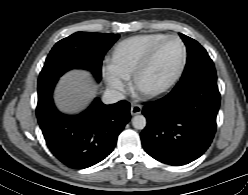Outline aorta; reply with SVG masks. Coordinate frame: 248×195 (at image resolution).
Returning a JSON list of instances; mask_svg holds the SVG:
<instances>
[{"instance_id": "1", "label": "aorta", "mask_w": 248, "mask_h": 195, "mask_svg": "<svg viewBox=\"0 0 248 195\" xmlns=\"http://www.w3.org/2000/svg\"><path fill=\"white\" fill-rule=\"evenodd\" d=\"M147 121L143 115H136L132 118V125L137 130H142L146 127Z\"/></svg>"}]
</instances>
